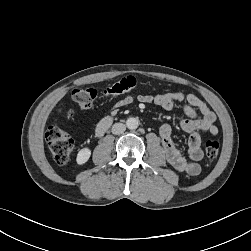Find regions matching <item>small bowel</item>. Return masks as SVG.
Listing matches in <instances>:
<instances>
[{"mask_svg": "<svg viewBox=\"0 0 251 251\" xmlns=\"http://www.w3.org/2000/svg\"><path fill=\"white\" fill-rule=\"evenodd\" d=\"M134 101L150 103L160 106L164 110H171L176 103L183 104L185 117L180 120V127L189 133L187 159L176 146L172 127L164 124L160 127L159 134L167 161L178 171L191 176H196L201 171L199 162L203 158L201 149V133H218L215 124L216 116L212 110L195 94L181 91L159 93L155 95L127 96L115 104V108L130 105Z\"/></svg>", "mask_w": 251, "mask_h": 251, "instance_id": "small-bowel-1", "label": "small bowel"}]
</instances>
